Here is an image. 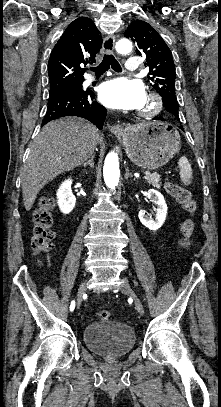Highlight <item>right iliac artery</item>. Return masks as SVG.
Returning a JSON list of instances; mask_svg holds the SVG:
<instances>
[{
  "label": "right iliac artery",
  "instance_id": "1",
  "mask_svg": "<svg viewBox=\"0 0 221 407\" xmlns=\"http://www.w3.org/2000/svg\"><path fill=\"white\" fill-rule=\"evenodd\" d=\"M74 308H75V301H72L71 305H70V311H73Z\"/></svg>",
  "mask_w": 221,
  "mask_h": 407
}]
</instances>
